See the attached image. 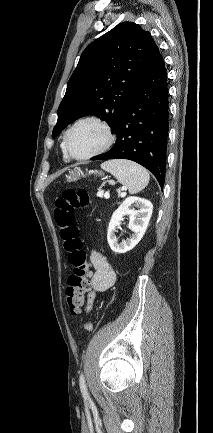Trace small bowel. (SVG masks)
Listing matches in <instances>:
<instances>
[{"mask_svg": "<svg viewBox=\"0 0 213 433\" xmlns=\"http://www.w3.org/2000/svg\"><path fill=\"white\" fill-rule=\"evenodd\" d=\"M90 263L93 269L90 277V289L86 309L90 312L93 308L97 293L104 292L114 285L116 272L106 256L97 250H91Z\"/></svg>", "mask_w": 213, "mask_h": 433, "instance_id": "c3829d8e", "label": "small bowel"}]
</instances>
